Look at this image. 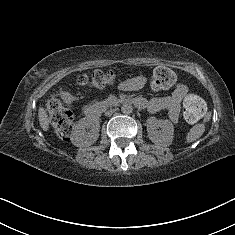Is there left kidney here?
I'll return each instance as SVG.
<instances>
[{
  "label": "left kidney",
  "instance_id": "left-kidney-1",
  "mask_svg": "<svg viewBox=\"0 0 235 235\" xmlns=\"http://www.w3.org/2000/svg\"><path fill=\"white\" fill-rule=\"evenodd\" d=\"M146 126L148 137L155 145L167 147L172 144L174 126L169 120L150 116L146 120Z\"/></svg>",
  "mask_w": 235,
  "mask_h": 235
}]
</instances>
